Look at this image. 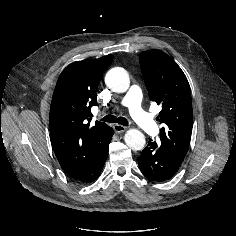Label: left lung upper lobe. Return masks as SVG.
<instances>
[{"mask_svg":"<svg viewBox=\"0 0 236 236\" xmlns=\"http://www.w3.org/2000/svg\"><path fill=\"white\" fill-rule=\"evenodd\" d=\"M140 66L150 100L162 107L159 147L183 160L193 125L191 92L181 68L161 50L140 54Z\"/></svg>","mask_w":236,"mask_h":236,"instance_id":"5c2ea615","label":"left lung upper lobe"}]
</instances>
